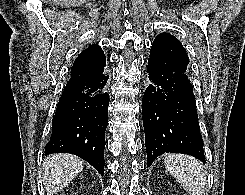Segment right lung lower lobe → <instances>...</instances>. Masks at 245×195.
I'll use <instances>...</instances> for the list:
<instances>
[{
  "instance_id": "obj_1",
  "label": "right lung lower lobe",
  "mask_w": 245,
  "mask_h": 195,
  "mask_svg": "<svg viewBox=\"0 0 245 195\" xmlns=\"http://www.w3.org/2000/svg\"><path fill=\"white\" fill-rule=\"evenodd\" d=\"M104 67L85 75H71L59 99L52 135L45 147V155L71 153L81 157L102 176L109 105V76Z\"/></svg>"
}]
</instances>
